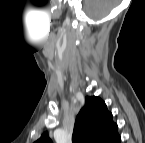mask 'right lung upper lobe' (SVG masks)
<instances>
[{"instance_id": "cb5924a9", "label": "right lung upper lobe", "mask_w": 145, "mask_h": 143, "mask_svg": "<svg viewBox=\"0 0 145 143\" xmlns=\"http://www.w3.org/2000/svg\"><path fill=\"white\" fill-rule=\"evenodd\" d=\"M118 127L112 120V114L106 104L96 96H87L85 105L76 117L73 138L74 143H120ZM36 143H52L45 132Z\"/></svg>"}]
</instances>
